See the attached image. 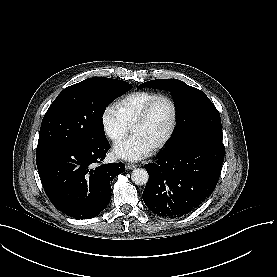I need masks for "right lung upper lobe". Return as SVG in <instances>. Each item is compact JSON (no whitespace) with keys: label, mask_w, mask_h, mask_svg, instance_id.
Here are the masks:
<instances>
[{"label":"right lung upper lobe","mask_w":277,"mask_h":277,"mask_svg":"<svg viewBox=\"0 0 277 277\" xmlns=\"http://www.w3.org/2000/svg\"><path fill=\"white\" fill-rule=\"evenodd\" d=\"M94 79L110 80V81H114V82H118V83H121V84H125V85L130 86V84H128L127 82H125V81H123V80H116V79H111V78H89V79H86V80H84V81L94 80ZM84 81H82V82H84Z\"/></svg>","instance_id":"obj_1"}]
</instances>
